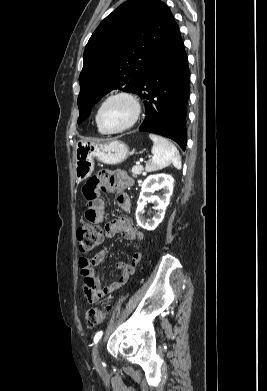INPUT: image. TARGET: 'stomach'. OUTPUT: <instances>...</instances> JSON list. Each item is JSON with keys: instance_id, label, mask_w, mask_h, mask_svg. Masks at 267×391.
I'll use <instances>...</instances> for the list:
<instances>
[{"instance_id": "stomach-1", "label": "stomach", "mask_w": 267, "mask_h": 391, "mask_svg": "<svg viewBox=\"0 0 267 391\" xmlns=\"http://www.w3.org/2000/svg\"><path fill=\"white\" fill-rule=\"evenodd\" d=\"M130 155L128 145L120 140L107 142L80 140L76 143L74 151L76 182L80 183L92 174L94 159L107 165H117Z\"/></svg>"}]
</instances>
